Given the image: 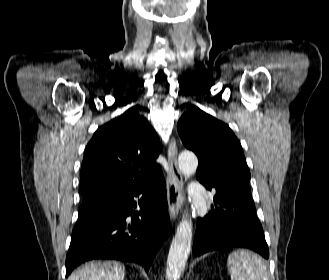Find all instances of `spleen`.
Here are the masks:
<instances>
[{
    "label": "spleen",
    "instance_id": "1",
    "mask_svg": "<svg viewBox=\"0 0 329 280\" xmlns=\"http://www.w3.org/2000/svg\"><path fill=\"white\" fill-rule=\"evenodd\" d=\"M227 264L231 280H268L265 264L248 250L232 252Z\"/></svg>",
    "mask_w": 329,
    "mask_h": 280
}]
</instances>
